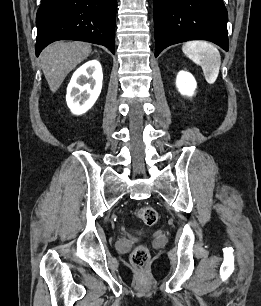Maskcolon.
<instances>
[{"label": "colon", "instance_id": "colon-1", "mask_svg": "<svg viewBox=\"0 0 261 306\" xmlns=\"http://www.w3.org/2000/svg\"><path fill=\"white\" fill-rule=\"evenodd\" d=\"M135 214L146 226H153L157 223L158 213L151 206H142L136 210ZM148 258V249L143 245L137 246L131 254L132 262L138 267H143Z\"/></svg>", "mask_w": 261, "mask_h": 306}]
</instances>
